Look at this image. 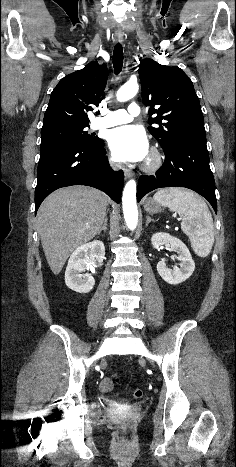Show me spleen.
<instances>
[{
  "label": "spleen",
  "mask_w": 236,
  "mask_h": 467,
  "mask_svg": "<svg viewBox=\"0 0 236 467\" xmlns=\"http://www.w3.org/2000/svg\"><path fill=\"white\" fill-rule=\"evenodd\" d=\"M153 198L183 218L181 229L189 237L194 252L200 257L208 256L214 244V225L204 200L182 188L161 189Z\"/></svg>",
  "instance_id": "obj_1"
}]
</instances>
